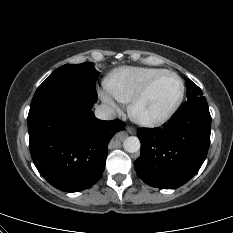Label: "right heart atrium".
<instances>
[{"label": "right heart atrium", "mask_w": 233, "mask_h": 233, "mask_svg": "<svg viewBox=\"0 0 233 233\" xmlns=\"http://www.w3.org/2000/svg\"><path fill=\"white\" fill-rule=\"evenodd\" d=\"M100 97H101L102 101L106 105H108L110 108H112L114 110L118 109V106H117L116 102L114 101V99L112 98V96L108 92L102 91L100 93Z\"/></svg>", "instance_id": "d8ad5b80"}]
</instances>
